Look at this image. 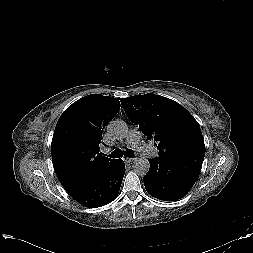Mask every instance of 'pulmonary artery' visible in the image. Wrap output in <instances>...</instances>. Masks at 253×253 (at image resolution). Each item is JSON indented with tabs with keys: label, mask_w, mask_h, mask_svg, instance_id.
<instances>
[{
	"label": "pulmonary artery",
	"mask_w": 253,
	"mask_h": 253,
	"mask_svg": "<svg viewBox=\"0 0 253 253\" xmlns=\"http://www.w3.org/2000/svg\"><path fill=\"white\" fill-rule=\"evenodd\" d=\"M127 142L142 154L151 153V148L145 143H143L142 134L137 129L130 130L127 136Z\"/></svg>",
	"instance_id": "e3ab8cb5"
}]
</instances>
